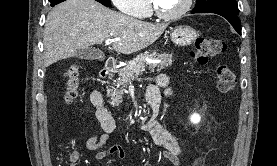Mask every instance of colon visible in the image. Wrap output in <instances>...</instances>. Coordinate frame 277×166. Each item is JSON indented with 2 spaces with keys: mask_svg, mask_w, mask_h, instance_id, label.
<instances>
[{
  "mask_svg": "<svg viewBox=\"0 0 277 166\" xmlns=\"http://www.w3.org/2000/svg\"><path fill=\"white\" fill-rule=\"evenodd\" d=\"M227 49L224 40L209 36L198 37L194 42L192 57L199 64H206L209 58L223 54ZM67 88L65 92V101L70 103L77 95L79 71L74 65L67 68L65 72ZM215 82L217 90L224 95L229 93L235 85V75L233 71L226 65H218L215 70ZM75 154L70 156L73 161ZM70 166H75L71 164Z\"/></svg>",
  "mask_w": 277,
  "mask_h": 166,
  "instance_id": "5ec220e1",
  "label": "colon"
}]
</instances>
